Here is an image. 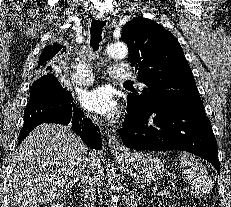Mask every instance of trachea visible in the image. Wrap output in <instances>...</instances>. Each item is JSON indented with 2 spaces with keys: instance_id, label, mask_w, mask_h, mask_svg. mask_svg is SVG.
I'll return each instance as SVG.
<instances>
[{
  "instance_id": "1",
  "label": "trachea",
  "mask_w": 231,
  "mask_h": 207,
  "mask_svg": "<svg viewBox=\"0 0 231 207\" xmlns=\"http://www.w3.org/2000/svg\"><path fill=\"white\" fill-rule=\"evenodd\" d=\"M106 25L105 20H92L90 27V46L95 52L99 49V44L102 40V31ZM129 83V82H126Z\"/></svg>"
}]
</instances>
